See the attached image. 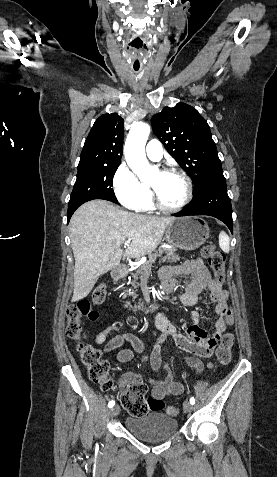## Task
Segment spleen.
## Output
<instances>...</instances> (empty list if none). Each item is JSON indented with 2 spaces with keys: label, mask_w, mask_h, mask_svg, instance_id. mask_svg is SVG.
<instances>
[{
  "label": "spleen",
  "mask_w": 277,
  "mask_h": 477,
  "mask_svg": "<svg viewBox=\"0 0 277 477\" xmlns=\"http://www.w3.org/2000/svg\"><path fill=\"white\" fill-rule=\"evenodd\" d=\"M219 246L223 252L229 253L230 251V238L225 232L219 234Z\"/></svg>",
  "instance_id": "3e777b00"
}]
</instances>
